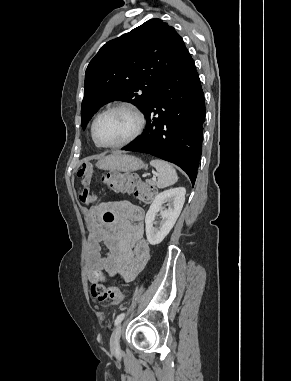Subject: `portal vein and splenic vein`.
<instances>
[{
	"label": "portal vein and splenic vein",
	"mask_w": 291,
	"mask_h": 381,
	"mask_svg": "<svg viewBox=\"0 0 291 381\" xmlns=\"http://www.w3.org/2000/svg\"><path fill=\"white\" fill-rule=\"evenodd\" d=\"M152 180H153V181H155V180H156V177H155V176H153Z\"/></svg>",
	"instance_id": "portal-vein-and-splenic-vein-1"
}]
</instances>
